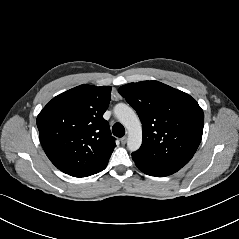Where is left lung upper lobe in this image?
Returning a JSON list of instances; mask_svg holds the SVG:
<instances>
[{
  "instance_id": "left-lung-upper-lobe-1",
  "label": "left lung upper lobe",
  "mask_w": 239,
  "mask_h": 239,
  "mask_svg": "<svg viewBox=\"0 0 239 239\" xmlns=\"http://www.w3.org/2000/svg\"><path fill=\"white\" fill-rule=\"evenodd\" d=\"M118 92L142 122V145L132 156L169 173L186 165L203 133L204 113L196 100L158 81L129 83Z\"/></svg>"
}]
</instances>
